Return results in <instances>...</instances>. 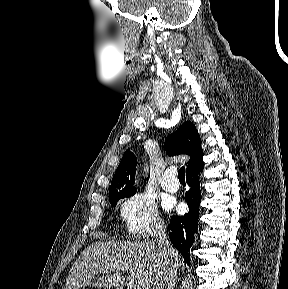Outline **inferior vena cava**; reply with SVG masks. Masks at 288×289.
<instances>
[{"label":"inferior vena cava","instance_id":"inferior-vena-cava-1","mask_svg":"<svg viewBox=\"0 0 288 289\" xmlns=\"http://www.w3.org/2000/svg\"><path fill=\"white\" fill-rule=\"evenodd\" d=\"M158 250L163 261V289H174L175 280L177 278L178 265L174 259L175 251L165 235V228H161L159 238L157 240Z\"/></svg>","mask_w":288,"mask_h":289}]
</instances>
